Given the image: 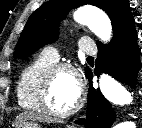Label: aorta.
Listing matches in <instances>:
<instances>
[{"label":"aorta","mask_w":142,"mask_h":128,"mask_svg":"<svg viewBox=\"0 0 142 128\" xmlns=\"http://www.w3.org/2000/svg\"><path fill=\"white\" fill-rule=\"evenodd\" d=\"M77 23L86 25L102 42L107 43L112 37V25L108 16L101 10L84 6L77 9L73 15ZM102 95L115 105L132 103V96L127 89L107 74H102L99 80ZM116 128H136L132 121L120 123Z\"/></svg>","instance_id":"aorta-1"}]
</instances>
